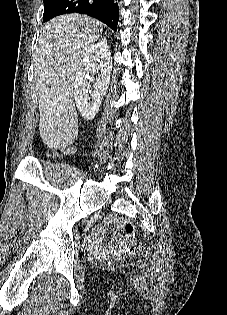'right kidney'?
<instances>
[{
  "label": "right kidney",
  "instance_id": "1",
  "mask_svg": "<svg viewBox=\"0 0 227 315\" xmlns=\"http://www.w3.org/2000/svg\"><path fill=\"white\" fill-rule=\"evenodd\" d=\"M112 71V57L105 40L91 46L85 53L74 83V99L81 115L92 120L97 114L106 94ZM98 77L94 78V74ZM91 84L93 90L90 91Z\"/></svg>",
  "mask_w": 227,
  "mask_h": 315
}]
</instances>
